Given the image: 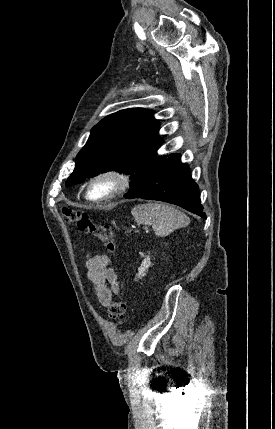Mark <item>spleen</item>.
<instances>
[{"mask_svg": "<svg viewBox=\"0 0 275 429\" xmlns=\"http://www.w3.org/2000/svg\"><path fill=\"white\" fill-rule=\"evenodd\" d=\"M131 213L137 223L151 225L155 234L160 237L168 236L190 222L183 212L164 203L140 204Z\"/></svg>", "mask_w": 275, "mask_h": 429, "instance_id": "3e777b00", "label": "spleen"}]
</instances>
